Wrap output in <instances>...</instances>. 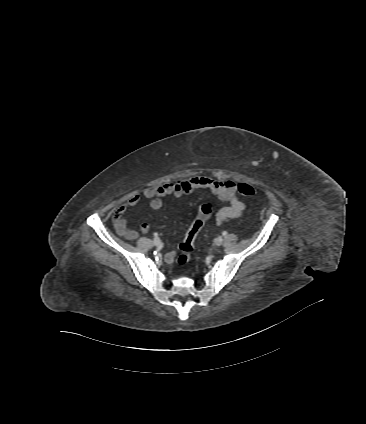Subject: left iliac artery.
<instances>
[{
	"label": "left iliac artery",
	"mask_w": 366,
	"mask_h": 424,
	"mask_svg": "<svg viewBox=\"0 0 366 424\" xmlns=\"http://www.w3.org/2000/svg\"><path fill=\"white\" fill-rule=\"evenodd\" d=\"M222 235H223V236H226V235H227V232H226V231H224V232L222 233Z\"/></svg>",
	"instance_id": "obj_1"
}]
</instances>
